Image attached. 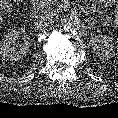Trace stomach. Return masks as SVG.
I'll use <instances>...</instances> for the list:
<instances>
[{"label":"stomach","mask_w":118,"mask_h":118,"mask_svg":"<svg viewBox=\"0 0 118 118\" xmlns=\"http://www.w3.org/2000/svg\"><path fill=\"white\" fill-rule=\"evenodd\" d=\"M96 1L105 7H111L116 0H96Z\"/></svg>","instance_id":"1"}]
</instances>
